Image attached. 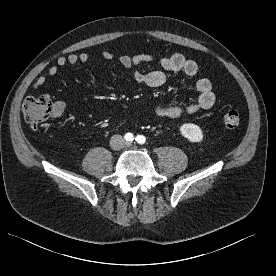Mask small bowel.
<instances>
[{
    "instance_id": "small-bowel-1",
    "label": "small bowel",
    "mask_w": 276,
    "mask_h": 276,
    "mask_svg": "<svg viewBox=\"0 0 276 276\" xmlns=\"http://www.w3.org/2000/svg\"><path fill=\"white\" fill-rule=\"evenodd\" d=\"M104 61L114 59V54L111 51H104L101 55ZM90 60V55L87 53H71L67 56H60L56 60V65L48 68V74L55 76L59 72V67L66 65L75 66L79 63H86ZM155 57L150 54L137 55H121L118 58L120 65L125 68L138 66L143 63L152 62ZM160 69L150 71L148 73L135 70L133 73L134 80L148 87L157 88L166 83V72L183 73L187 76H195L198 73V64L182 54H173L162 57L159 60ZM46 80L43 76L38 77L34 84L33 90L37 91L44 86ZM196 89L199 93L198 97L185 105H159L154 107L153 114L155 117L162 120H176L184 114H195L201 110L208 109L215 103V93L213 92L212 84L207 78H200L196 82ZM65 109V104L62 101L55 102V113L61 114Z\"/></svg>"
}]
</instances>
